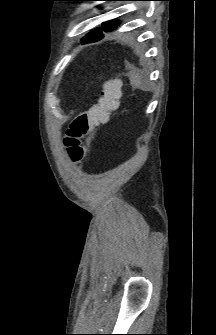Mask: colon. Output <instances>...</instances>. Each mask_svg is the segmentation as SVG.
Segmentation results:
<instances>
[{
	"label": "colon",
	"instance_id": "1",
	"mask_svg": "<svg viewBox=\"0 0 216 335\" xmlns=\"http://www.w3.org/2000/svg\"><path fill=\"white\" fill-rule=\"evenodd\" d=\"M121 89V79L105 80L98 101L86 111L81 112L70 124L64 137V144L73 162H81L87 154L82 140L89 136L98 125L107 123L110 115L118 109Z\"/></svg>",
	"mask_w": 216,
	"mask_h": 335
}]
</instances>
